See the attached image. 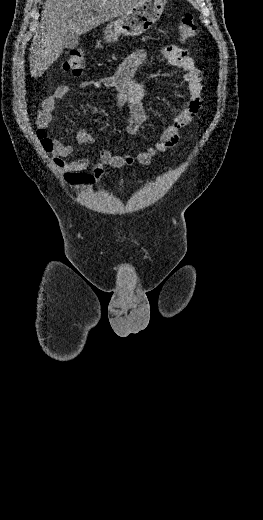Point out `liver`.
<instances>
[{"label":"liver","mask_w":263,"mask_h":520,"mask_svg":"<svg viewBox=\"0 0 263 520\" xmlns=\"http://www.w3.org/2000/svg\"><path fill=\"white\" fill-rule=\"evenodd\" d=\"M144 0H46L30 48V74L40 77L62 54L64 35L87 33L122 16Z\"/></svg>","instance_id":"6515ba94"}]
</instances>
